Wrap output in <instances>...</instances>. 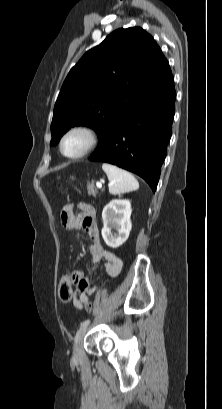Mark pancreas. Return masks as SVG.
Masks as SVG:
<instances>
[{
    "mask_svg": "<svg viewBox=\"0 0 222 409\" xmlns=\"http://www.w3.org/2000/svg\"><path fill=\"white\" fill-rule=\"evenodd\" d=\"M87 191L89 195H92L93 197L96 196L98 193L97 189L94 186V181L88 182L87 183Z\"/></svg>",
    "mask_w": 222,
    "mask_h": 409,
    "instance_id": "pancreas-1",
    "label": "pancreas"
}]
</instances>
